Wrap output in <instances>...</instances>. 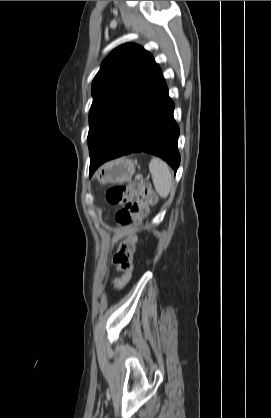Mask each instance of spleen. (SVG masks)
Wrapping results in <instances>:
<instances>
[{
    "mask_svg": "<svg viewBox=\"0 0 271 418\" xmlns=\"http://www.w3.org/2000/svg\"><path fill=\"white\" fill-rule=\"evenodd\" d=\"M149 171L152 174L156 192L162 198H166L173 187V177L169 166L160 158H152Z\"/></svg>",
    "mask_w": 271,
    "mask_h": 418,
    "instance_id": "3e777b00",
    "label": "spleen"
}]
</instances>
